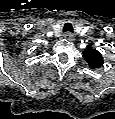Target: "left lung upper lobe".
Here are the masks:
<instances>
[{
	"label": "left lung upper lobe",
	"instance_id": "obj_1",
	"mask_svg": "<svg viewBox=\"0 0 115 119\" xmlns=\"http://www.w3.org/2000/svg\"><path fill=\"white\" fill-rule=\"evenodd\" d=\"M83 57L92 69L99 68L104 63L101 53L93 49L91 43L84 50Z\"/></svg>",
	"mask_w": 115,
	"mask_h": 119
}]
</instances>
